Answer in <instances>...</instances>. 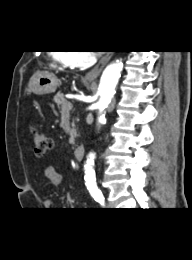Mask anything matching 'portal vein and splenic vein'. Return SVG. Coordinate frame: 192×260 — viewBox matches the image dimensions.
I'll use <instances>...</instances> for the list:
<instances>
[{
    "mask_svg": "<svg viewBox=\"0 0 192 260\" xmlns=\"http://www.w3.org/2000/svg\"><path fill=\"white\" fill-rule=\"evenodd\" d=\"M72 107H73V106H72V103H71V102H67V103H66V106H65V110H71ZM65 110H64V111H65Z\"/></svg>",
    "mask_w": 192,
    "mask_h": 260,
    "instance_id": "1",
    "label": "portal vein and splenic vein"
}]
</instances>
